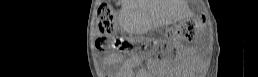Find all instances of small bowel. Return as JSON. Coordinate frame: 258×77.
<instances>
[{"instance_id":"small-bowel-1","label":"small bowel","mask_w":258,"mask_h":77,"mask_svg":"<svg viewBox=\"0 0 258 77\" xmlns=\"http://www.w3.org/2000/svg\"><path fill=\"white\" fill-rule=\"evenodd\" d=\"M138 64V59L127 58L123 60L122 67L125 70H132ZM123 73H131V71H123Z\"/></svg>"}]
</instances>
